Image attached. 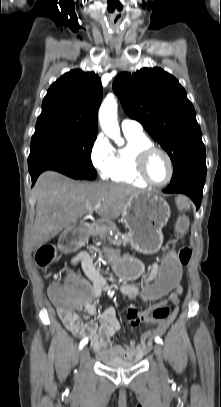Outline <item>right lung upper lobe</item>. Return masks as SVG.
I'll use <instances>...</instances> for the list:
<instances>
[{"label": "right lung upper lobe", "mask_w": 221, "mask_h": 407, "mask_svg": "<svg viewBox=\"0 0 221 407\" xmlns=\"http://www.w3.org/2000/svg\"><path fill=\"white\" fill-rule=\"evenodd\" d=\"M101 100L100 78L93 72L72 70L49 88L35 131L66 130L96 136Z\"/></svg>", "instance_id": "cb5924a9"}]
</instances>
